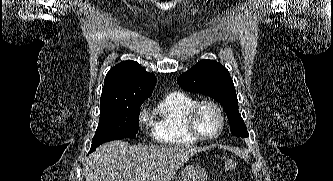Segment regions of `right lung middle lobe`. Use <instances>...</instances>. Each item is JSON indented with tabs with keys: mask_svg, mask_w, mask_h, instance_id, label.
<instances>
[{
	"mask_svg": "<svg viewBox=\"0 0 333 181\" xmlns=\"http://www.w3.org/2000/svg\"><path fill=\"white\" fill-rule=\"evenodd\" d=\"M143 101L101 109L97 130L90 151L102 143L122 138H134L139 127L140 106Z\"/></svg>",
	"mask_w": 333,
	"mask_h": 181,
	"instance_id": "right-lung-middle-lobe-1",
	"label": "right lung middle lobe"
}]
</instances>
